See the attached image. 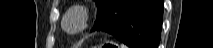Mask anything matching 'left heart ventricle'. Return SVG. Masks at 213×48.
Wrapping results in <instances>:
<instances>
[{
  "label": "left heart ventricle",
  "instance_id": "1",
  "mask_svg": "<svg viewBox=\"0 0 213 48\" xmlns=\"http://www.w3.org/2000/svg\"><path fill=\"white\" fill-rule=\"evenodd\" d=\"M66 26L69 30H74L79 27V20L75 15L70 16L66 21Z\"/></svg>",
  "mask_w": 213,
  "mask_h": 48
}]
</instances>
